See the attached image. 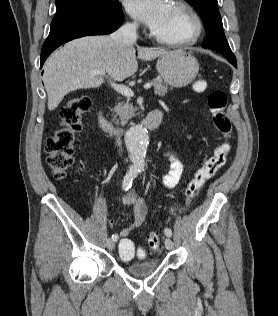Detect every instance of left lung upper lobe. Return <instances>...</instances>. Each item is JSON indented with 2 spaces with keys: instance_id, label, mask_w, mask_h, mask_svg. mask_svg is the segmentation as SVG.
<instances>
[{
  "instance_id": "left-lung-upper-lobe-1",
  "label": "left lung upper lobe",
  "mask_w": 278,
  "mask_h": 316,
  "mask_svg": "<svg viewBox=\"0 0 278 316\" xmlns=\"http://www.w3.org/2000/svg\"><path fill=\"white\" fill-rule=\"evenodd\" d=\"M186 1L197 10L204 22L207 34L203 46L221 53L236 67V58L223 32V24L218 10L217 0Z\"/></svg>"
}]
</instances>
